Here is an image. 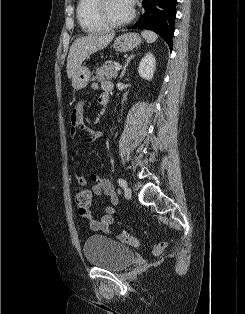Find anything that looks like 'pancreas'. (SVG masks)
I'll list each match as a JSON object with an SVG mask.
<instances>
[{
	"instance_id": "cf45deb5",
	"label": "pancreas",
	"mask_w": 245,
	"mask_h": 314,
	"mask_svg": "<svg viewBox=\"0 0 245 314\" xmlns=\"http://www.w3.org/2000/svg\"><path fill=\"white\" fill-rule=\"evenodd\" d=\"M116 66L117 64L115 63L102 65L96 70V75L92 78V81L103 82L116 78L118 74L117 71H115Z\"/></svg>"
}]
</instances>
